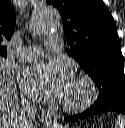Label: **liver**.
Instances as JSON below:
<instances>
[{"instance_id": "obj_1", "label": "liver", "mask_w": 125, "mask_h": 128, "mask_svg": "<svg viewBox=\"0 0 125 128\" xmlns=\"http://www.w3.org/2000/svg\"><path fill=\"white\" fill-rule=\"evenodd\" d=\"M19 115L15 83L0 68V128H19Z\"/></svg>"}]
</instances>
